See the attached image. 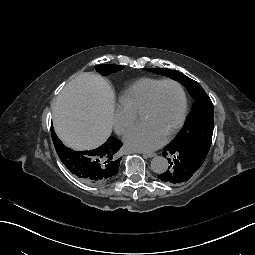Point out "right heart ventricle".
Here are the masks:
<instances>
[{
  "label": "right heart ventricle",
  "instance_id": "obj_1",
  "mask_svg": "<svg viewBox=\"0 0 255 255\" xmlns=\"http://www.w3.org/2000/svg\"><path fill=\"white\" fill-rule=\"evenodd\" d=\"M161 79L157 78H142L118 96V106L126 108L136 114L142 111L151 90L156 86Z\"/></svg>",
  "mask_w": 255,
  "mask_h": 255
}]
</instances>
